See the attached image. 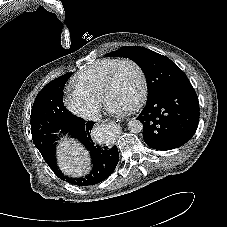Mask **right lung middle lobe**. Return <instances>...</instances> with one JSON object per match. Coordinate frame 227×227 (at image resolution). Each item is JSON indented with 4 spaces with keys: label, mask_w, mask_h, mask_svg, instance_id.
<instances>
[{
    "label": "right lung middle lobe",
    "mask_w": 227,
    "mask_h": 227,
    "mask_svg": "<svg viewBox=\"0 0 227 227\" xmlns=\"http://www.w3.org/2000/svg\"><path fill=\"white\" fill-rule=\"evenodd\" d=\"M72 73L48 83L36 96L31 110L32 140L42 154L47 155L58 139L57 132L73 115L63 105V89Z\"/></svg>",
    "instance_id": "1"
}]
</instances>
